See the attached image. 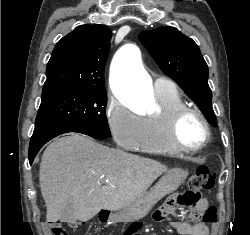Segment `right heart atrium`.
Here are the masks:
<instances>
[{
  "label": "right heart atrium",
  "instance_id": "1",
  "mask_svg": "<svg viewBox=\"0 0 250 235\" xmlns=\"http://www.w3.org/2000/svg\"><path fill=\"white\" fill-rule=\"evenodd\" d=\"M106 122L114 141L126 149H135L142 138V118L110 96L105 110Z\"/></svg>",
  "mask_w": 250,
  "mask_h": 235
}]
</instances>
